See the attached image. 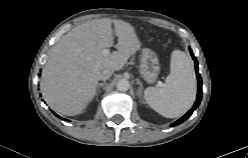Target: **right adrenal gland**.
Returning <instances> with one entry per match:
<instances>
[{
    "label": "right adrenal gland",
    "mask_w": 248,
    "mask_h": 158,
    "mask_svg": "<svg viewBox=\"0 0 248 158\" xmlns=\"http://www.w3.org/2000/svg\"><path fill=\"white\" fill-rule=\"evenodd\" d=\"M105 84H106V81H104L103 83H98L97 92L99 91L100 87H104ZM97 92H96V94H97Z\"/></svg>",
    "instance_id": "right-adrenal-gland-1"
}]
</instances>
